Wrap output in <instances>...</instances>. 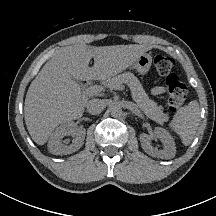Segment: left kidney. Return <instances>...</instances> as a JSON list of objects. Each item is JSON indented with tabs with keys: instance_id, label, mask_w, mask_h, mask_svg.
<instances>
[{
	"instance_id": "1",
	"label": "left kidney",
	"mask_w": 216,
	"mask_h": 216,
	"mask_svg": "<svg viewBox=\"0 0 216 216\" xmlns=\"http://www.w3.org/2000/svg\"><path fill=\"white\" fill-rule=\"evenodd\" d=\"M157 138L163 143V150H156L151 145V140ZM140 142L143 150L157 158L161 159H171L175 156L176 147L173 137L163 128H155L154 133L152 135H148L146 133L140 134Z\"/></svg>"
}]
</instances>
